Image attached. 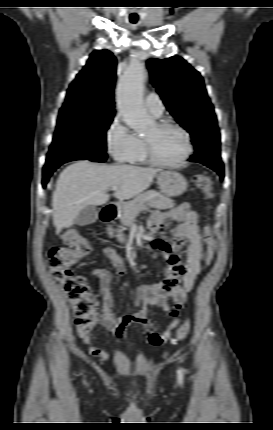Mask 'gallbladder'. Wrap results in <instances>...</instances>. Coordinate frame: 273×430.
I'll return each mask as SVG.
<instances>
[{"label": "gallbladder", "mask_w": 273, "mask_h": 430, "mask_svg": "<svg viewBox=\"0 0 273 430\" xmlns=\"http://www.w3.org/2000/svg\"><path fill=\"white\" fill-rule=\"evenodd\" d=\"M98 213V209L93 205L85 207L80 211L76 219L77 224L80 226H85L94 223L98 219Z\"/></svg>", "instance_id": "gallbladder-1"}]
</instances>
